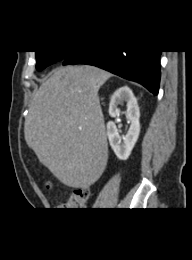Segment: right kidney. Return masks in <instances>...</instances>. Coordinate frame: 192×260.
I'll return each instance as SVG.
<instances>
[{
    "label": "right kidney",
    "mask_w": 192,
    "mask_h": 260,
    "mask_svg": "<svg viewBox=\"0 0 192 260\" xmlns=\"http://www.w3.org/2000/svg\"><path fill=\"white\" fill-rule=\"evenodd\" d=\"M124 101L127 102L128 108L125 115L127 120L131 123L126 136L121 137L119 135L116 124L113 121L107 123V136L110 146L120 160L128 159L140 133L139 106L137 99L129 87L123 86L112 95L109 104V115L111 117L119 116L120 109H118V105L122 104Z\"/></svg>",
    "instance_id": "ca27d5eb"
}]
</instances>
